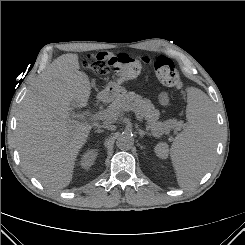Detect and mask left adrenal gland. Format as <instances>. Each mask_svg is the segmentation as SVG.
Listing matches in <instances>:
<instances>
[{
	"label": "left adrenal gland",
	"mask_w": 245,
	"mask_h": 245,
	"mask_svg": "<svg viewBox=\"0 0 245 245\" xmlns=\"http://www.w3.org/2000/svg\"><path fill=\"white\" fill-rule=\"evenodd\" d=\"M138 132H139L140 138H143L145 135H149L150 136L149 132L143 131L142 129H139Z\"/></svg>",
	"instance_id": "1"
}]
</instances>
